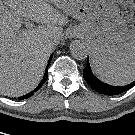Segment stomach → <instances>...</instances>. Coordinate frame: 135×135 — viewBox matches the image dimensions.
Segmentation results:
<instances>
[{
	"mask_svg": "<svg viewBox=\"0 0 135 135\" xmlns=\"http://www.w3.org/2000/svg\"><path fill=\"white\" fill-rule=\"evenodd\" d=\"M78 19L91 59L105 70L135 60L134 0H49Z\"/></svg>",
	"mask_w": 135,
	"mask_h": 135,
	"instance_id": "obj_1",
	"label": "stomach"
}]
</instances>
